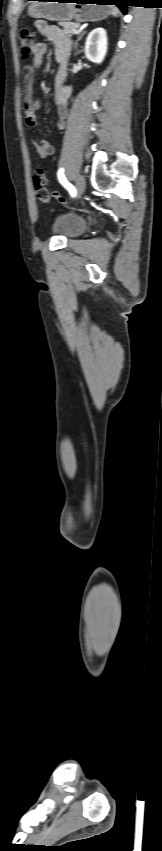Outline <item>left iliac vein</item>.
<instances>
[{
  "label": "left iliac vein",
  "instance_id": "1",
  "mask_svg": "<svg viewBox=\"0 0 162 851\" xmlns=\"http://www.w3.org/2000/svg\"><path fill=\"white\" fill-rule=\"evenodd\" d=\"M75 187H76L77 194L79 196H81L83 194V192L85 191V187H86V181H85V178H84L83 175H81V174L77 175Z\"/></svg>",
  "mask_w": 162,
  "mask_h": 851
}]
</instances>
